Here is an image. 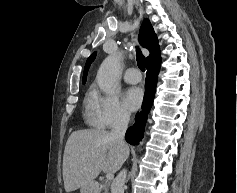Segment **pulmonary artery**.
Listing matches in <instances>:
<instances>
[{"label":"pulmonary artery","mask_w":237,"mask_h":193,"mask_svg":"<svg viewBox=\"0 0 237 193\" xmlns=\"http://www.w3.org/2000/svg\"><path fill=\"white\" fill-rule=\"evenodd\" d=\"M142 79V76L137 68H129L124 74V80L128 83H138Z\"/></svg>","instance_id":"obj_1"}]
</instances>
